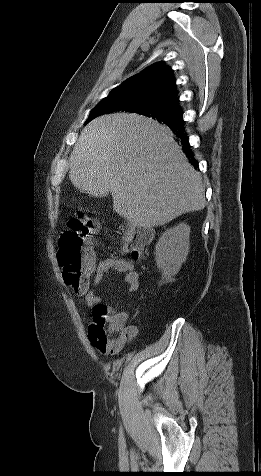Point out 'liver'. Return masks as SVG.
Masks as SVG:
<instances>
[{
	"label": "liver",
	"mask_w": 261,
	"mask_h": 476,
	"mask_svg": "<svg viewBox=\"0 0 261 476\" xmlns=\"http://www.w3.org/2000/svg\"><path fill=\"white\" fill-rule=\"evenodd\" d=\"M69 178L80 192H110L116 213L138 227L162 226L205 207L202 177L172 132L137 114L92 120L73 148Z\"/></svg>",
	"instance_id": "6515ba94"
}]
</instances>
